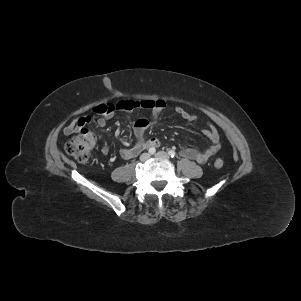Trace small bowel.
Masks as SVG:
<instances>
[{"instance_id":"obj_1","label":"small bowel","mask_w":301,"mask_h":301,"mask_svg":"<svg viewBox=\"0 0 301 301\" xmlns=\"http://www.w3.org/2000/svg\"><path fill=\"white\" fill-rule=\"evenodd\" d=\"M166 103L163 100H141L135 101L130 99L120 100L113 105L103 104L94 108V112L99 115L97 125L105 127L108 121L114 116L117 111L130 112L135 109H147L151 112V118H140L132 123L134 133L137 141L134 146L123 148L120 150V155L124 159H131L135 157L141 150L148 148H157L159 141L156 138H146V131L151 123L155 122L160 116L161 112L165 109ZM176 113L187 121H194L195 116L181 107L175 109ZM92 121L90 116L74 119L64 129L65 135L80 132L85 126ZM203 135L211 142V145L199 151L195 148H183L180 151L181 156L194 160L197 163H206L213 155L220 150L219 134L214 127L202 130ZM102 153L107 155L109 153L108 146H103Z\"/></svg>"}]
</instances>
